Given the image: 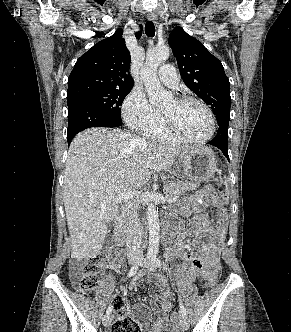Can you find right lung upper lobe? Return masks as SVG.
<instances>
[{"instance_id":"obj_1","label":"right lung upper lobe","mask_w":291,"mask_h":332,"mask_svg":"<svg viewBox=\"0 0 291 332\" xmlns=\"http://www.w3.org/2000/svg\"><path fill=\"white\" fill-rule=\"evenodd\" d=\"M140 36L141 32L136 33L138 39ZM130 61L122 29L119 28L77 60L68 78L67 98L95 90L132 88Z\"/></svg>"}]
</instances>
